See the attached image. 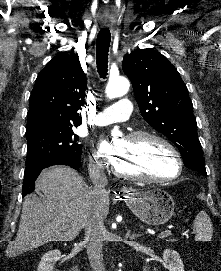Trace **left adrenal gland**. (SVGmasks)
I'll list each match as a JSON object with an SVG mask.
<instances>
[{
	"label": "left adrenal gland",
	"mask_w": 221,
	"mask_h": 271,
	"mask_svg": "<svg viewBox=\"0 0 221 271\" xmlns=\"http://www.w3.org/2000/svg\"><path fill=\"white\" fill-rule=\"evenodd\" d=\"M128 235H129V237H132V235H130V231H128ZM133 235H134V237H138L139 233H137V235H136V233H133Z\"/></svg>",
	"instance_id": "left-adrenal-gland-1"
}]
</instances>
